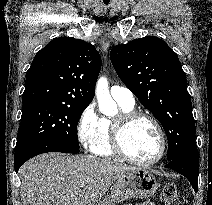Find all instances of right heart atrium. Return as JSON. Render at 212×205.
Returning a JSON list of instances; mask_svg holds the SVG:
<instances>
[{"instance_id": "1", "label": "right heart atrium", "mask_w": 212, "mask_h": 205, "mask_svg": "<svg viewBox=\"0 0 212 205\" xmlns=\"http://www.w3.org/2000/svg\"><path fill=\"white\" fill-rule=\"evenodd\" d=\"M99 125L100 118L96 113L95 105L90 103L83 109L76 124L77 140L83 147L90 148L94 143Z\"/></svg>"}]
</instances>
